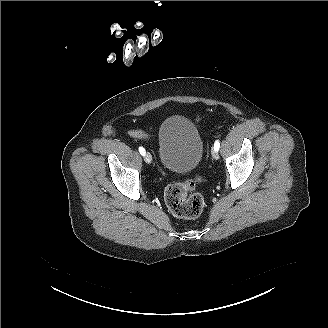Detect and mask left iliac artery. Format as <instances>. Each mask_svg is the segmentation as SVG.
<instances>
[{"mask_svg": "<svg viewBox=\"0 0 328 328\" xmlns=\"http://www.w3.org/2000/svg\"><path fill=\"white\" fill-rule=\"evenodd\" d=\"M219 148H220V143H219L218 140H216L215 143H214V150L218 151Z\"/></svg>", "mask_w": 328, "mask_h": 328, "instance_id": "1", "label": "left iliac artery"}]
</instances>
